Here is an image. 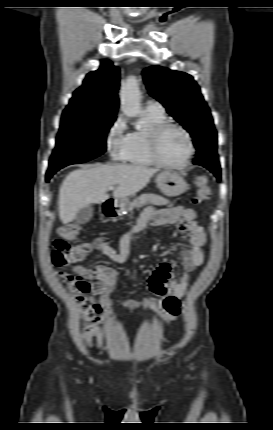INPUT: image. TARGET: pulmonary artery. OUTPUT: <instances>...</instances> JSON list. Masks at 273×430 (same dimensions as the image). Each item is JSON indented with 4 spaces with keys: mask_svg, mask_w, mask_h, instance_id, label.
Wrapping results in <instances>:
<instances>
[{
    "mask_svg": "<svg viewBox=\"0 0 273 430\" xmlns=\"http://www.w3.org/2000/svg\"><path fill=\"white\" fill-rule=\"evenodd\" d=\"M146 110L156 114H164V108L162 104L155 100H150L147 102Z\"/></svg>",
    "mask_w": 273,
    "mask_h": 430,
    "instance_id": "pulmonary-artery-1",
    "label": "pulmonary artery"
}]
</instances>
